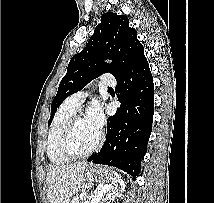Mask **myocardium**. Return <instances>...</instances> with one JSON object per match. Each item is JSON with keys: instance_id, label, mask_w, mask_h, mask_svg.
I'll return each mask as SVG.
<instances>
[{"instance_id": "myocardium-1", "label": "myocardium", "mask_w": 214, "mask_h": 203, "mask_svg": "<svg viewBox=\"0 0 214 203\" xmlns=\"http://www.w3.org/2000/svg\"><path fill=\"white\" fill-rule=\"evenodd\" d=\"M81 118H82L81 116L74 115L70 119L68 124L66 125V127L62 133L61 139H60V150H61L62 154L65 157L72 159V160L81 159V158L90 156L101 146L103 139H104L103 133L99 132L97 141L89 150H87L85 152H76L72 148L71 142H72V136H73V132H74L76 123Z\"/></svg>"}]
</instances>
